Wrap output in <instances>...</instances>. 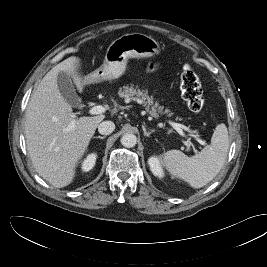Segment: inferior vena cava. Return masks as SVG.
<instances>
[{
  "label": "inferior vena cava",
  "mask_w": 267,
  "mask_h": 267,
  "mask_svg": "<svg viewBox=\"0 0 267 267\" xmlns=\"http://www.w3.org/2000/svg\"><path fill=\"white\" fill-rule=\"evenodd\" d=\"M115 129V124L112 121H103L98 125V131L102 135H109Z\"/></svg>",
  "instance_id": "obj_1"
}]
</instances>
